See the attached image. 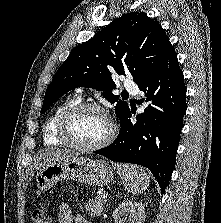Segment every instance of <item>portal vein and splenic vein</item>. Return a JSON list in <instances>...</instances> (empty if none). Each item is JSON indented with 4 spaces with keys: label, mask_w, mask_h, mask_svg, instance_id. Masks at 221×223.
Returning a JSON list of instances; mask_svg holds the SVG:
<instances>
[{
    "label": "portal vein and splenic vein",
    "mask_w": 221,
    "mask_h": 223,
    "mask_svg": "<svg viewBox=\"0 0 221 223\" xmlns=\"http://www.w3.org/2000/svg\"><path fill=\"white\" fill-rule=\"evenodd\" d=\"M102 195H103L104 197H107V196H108L107 192H103Z\"/></svg>",
    "instance_id": "1"
}]
</instances>
